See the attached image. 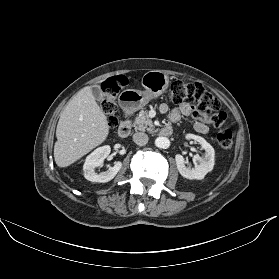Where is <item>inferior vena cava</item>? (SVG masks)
<instances>
[{
    "mask_svg": "<svg viewBox=\"0 0 279 279\" xmlns=\"http://www.w3.org/2000/svg\"><path fill=\"white\" fill-rule=\"evenodd\" d=\"M148 139V135L143 132H137L133 135V141L139 146L146 145L148 143Z\"/></svg>",
    "mask_w": 279,
    "mask_h": 279,
    "instance_id": "inferior-vena-cava-1",
    "label": "inferior vena cava"
}]
</instances>
